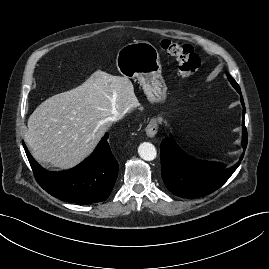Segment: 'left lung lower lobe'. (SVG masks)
<instances>
[{
	"label": "left lung lower lobe",
	"instance_id": "left-lung-lower-lobe-1",
	"mask_svg": "<svg viewBox=\"0 0 269 269\" xmlns=\"http://www.w3.org/2000/svg\"><path fill=\"white\" fill-rule=\"evenodd\" d=\"M243 106L242 146H247V130L244 123L245 105L240 89ZM161 175L166 187L175 195L184 198L205 196L220 188L240 165L231 168L217 162L202 161L183 152L172 136L165 138L161 145Z\"/></svg>",
	"mask_w": 269,
	"mask_h": 269
}]
</instances>
